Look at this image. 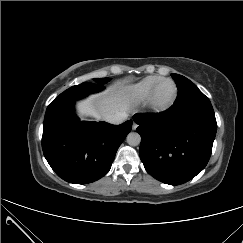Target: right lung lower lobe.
<instances>
[{
    "instance_id": "1",
    "label": "right lung lower lobe",
    "mask_w": 243,
    "mask_h": 243,
    "mask_svg": "<svg viewBox=\"0 0 243 243\" xmlns=\"http://www.w3.org/2000/svg\"><path fill=\"white\" fill-rule=\"evenodd\" d=\"M104 89L84 82L61 93L47 107L42 136L44 156L63 180L74 184L94 182L111 168L115 154L132 128V120L120 125L80 121L74 114L76 99Z\"/></svg>"
}]
</instances>
